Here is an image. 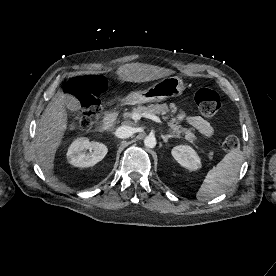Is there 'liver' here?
<instances>
[{"mask_svg":"<svg viewBox=\"0 0 276 276\" xmlns=\"http://www.w3.org/2000/svg\"><path fill=\"white\" fill-rule=\"evenodd\" d=\"M174 71L158 66L130 63L120 66L116 74L124 82L142 83L149 82L173 74ZM73 98L61 90L48 103L37 128L35 150L38 162L51 182L59 184L64 190L69 188L58 183V179L52 175L54 159L57 148L60 146L68 126L67 101Z\"/></svg>","mask_w":276,"mask_h":276,"instance_id":"liver-1","label":"liver"}]
</instances>
